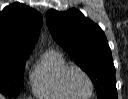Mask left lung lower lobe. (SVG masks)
Here are the masks:
<instances>
[{"label":"left lung lower lobe","mask_w":128,"mask_h":99,"mask_svg":"<svg viewBox=\"0 0 128 99\" xmlns=\"http://www.w3.org/2000/svg\"><path fill=\"white\" fill-rule=\"evenodd\" d=\"M111 99H117V96H115L114 98H111Z\"/></svg>","instance_id":"1"}]
</instances>
